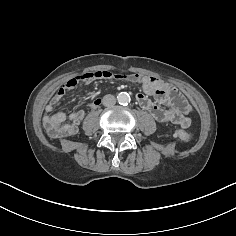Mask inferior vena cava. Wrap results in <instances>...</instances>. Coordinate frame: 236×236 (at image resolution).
I'll return each mask as SVG.
<instances>
[{
	"label": "inferior vena cava",
	"instance_id": "602c4592",
	"mask_svg": "<svg viewBox=\"0 0 236 236\" xmlns=\"http://www.w3.org/2000/svg\"><path fill=\"white\" fill-rule=\"evenodd\" d=\"M102 103L104 106L106 107H112L115 105L116 103V99L113 95L111 94H108V95H105L102 99Z\"/></svg>",
	"mask_w": 236,
	"mask_h": 236
}]
</instances>
